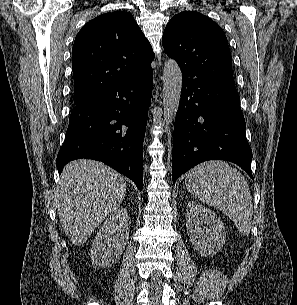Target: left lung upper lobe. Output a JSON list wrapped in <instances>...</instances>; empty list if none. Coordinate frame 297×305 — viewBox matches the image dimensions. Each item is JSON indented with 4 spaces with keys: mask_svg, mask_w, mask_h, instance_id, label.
I'll return each mask as SVG.
<instances>
[{
    "mask_svg": "<svg viewBox=\"0 0 297 305\" xmlns=\"http://www.w3.org/2000/svg\"><path fill=\"white\" fill-rule=\"evenodd\" d=\"M162 44L181 71L197 78L233 76L232 56L221 27L209 17L193 11L175 15L167 24Z\"/></svg>",
    "mask_w": 297,
    "mask_h": 305,
    "instance_id": "5c2ea615",
    "label": "left lung upper lobe"
}]
</instances>
